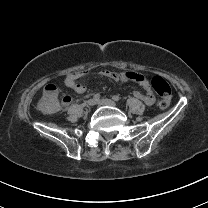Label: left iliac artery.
I'll use <instances>...</instances> for the list:
<instances>
[{
  "label": "left iliac artery",
  "instance_id": "44dca946",
  "mask_svg": "<svg viewBox=\"0 0 208 208\" xmlns=\"http://www.w3.org/2000/svg\"><path fill=\"white\" fill-rule=\"evenodd\" d=\"M112 99H113L114 101H119V100H120V97L117 96V95H114V96H112Z\"/></svg>",
  "mask_w": 208,
  "mask_h": 208
}]
</instances>
